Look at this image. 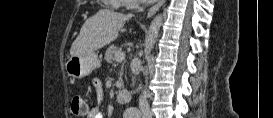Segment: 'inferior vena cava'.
Masks as SVG:
<instances>
[{
    "instance_id": "inferior-vena-cava-1",
    "label": "inferior vena cava",
    "mask_w": 273,
    "mask_h": 118,
    "mask_svg": "<svg viewBox=\"0 0 273 118\" xmlns=\"http://www.w3.org/2000/svg\"><path fill=\"white\" fill-rule=\"evenodd\" d=\"M135 61L137 62L139 60L136 58ZM139 108H140L143 118H151L152 117V114H151V111L149 108V104L147 102L145 94H141L139 97Z\"/></svg>"
}]
</instances>
